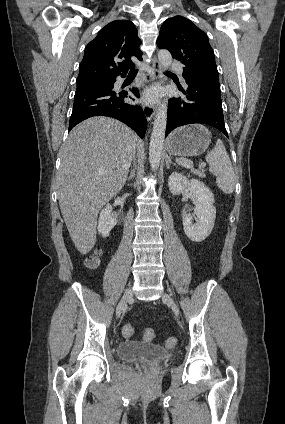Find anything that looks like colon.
I'll list each match as a JSON object with an SVG mask.
<instances>
[{
  "label": "colon",
  "instance_id": "colon-1",
  "mask_svg": "<svg viewBox=\"0 0 285 424\" xmlns=\"http://www.w3.org/2000/svg\"><path fill=\"white\" fill-rule=\"evenodd\" d=\"M100 257H101V251L97 250L94 254L90 255L86 261H85V265L88 269H96L99 265H100ZM134 332V327L131 323L126 324L123 327V335L125 337H130ZM155 333L154 330L152 328H146L143 331V338L146 341H151L154 339ZM167 344L168 345H175L176 344V338L171 337L167 340Z\"/></svg>",
  "mask_w": 285,
  "mask_h": 424
}]
</instances>
